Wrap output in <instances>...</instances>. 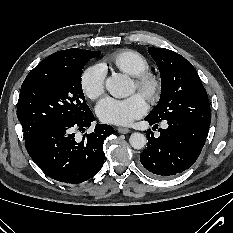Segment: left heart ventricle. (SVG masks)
I'll list each match as a JSON object with an SVG mask.
<instances>
[{
    "label": "left heart ventricle",
    "mask_w": 233,
    "mask_h": 233,
    "mask_svg": "<svg viewBox=\"0 0 233 233\" xmlns=\"http://www.w3.org/2000/svg\"><path fill=\"white\" fill-rule=\"evenodd\" d=\"M132 91H137L135 84L133 83Z\"/></svg>",
    "instance_id": "1"
}]
</instances>
